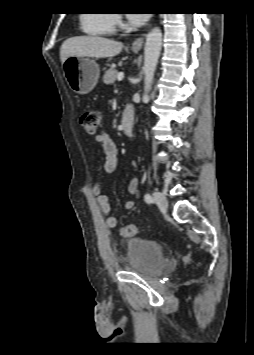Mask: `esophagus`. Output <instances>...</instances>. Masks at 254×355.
<instances>
[{
    "mask_svg": "<svg viewBox=\"0 0 254 355\" xmlns=\"http://www.w3.org/2000/svg\"><path fill=\"white\" fill-rule=\"evenodd\" d=\"M144 36V35H143ZM139 37L137 38L133 43H132V49L133 50H140L142 45H143V39L144 37Z\"/></svg>",
    "mask_w": 254,
    "mask_h": 355,
    "instance_id": "esophagus-1",
    "label": "esophagus"
}]
</instances>
